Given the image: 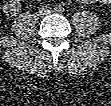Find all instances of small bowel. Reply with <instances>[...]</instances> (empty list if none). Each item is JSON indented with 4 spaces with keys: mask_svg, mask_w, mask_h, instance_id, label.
I'll use <instances>...</instances> for the list:
<instances>
[{
    "mask_svg": "<svg viewBox=\"0 0 111 106\" xmlns=\"http://www.w3.org/2000/svg\"><path fill=\"white\" fill-rule=\"evenodd\" d=\"M82 2H93V1H86V0H84V1H82Z\"/></svg>",
    "mask_w": 111,
    "mask_h": 106,
    "instance_id": "small-bowel-1",
    "label": "small bowel"
}]
</instances>
